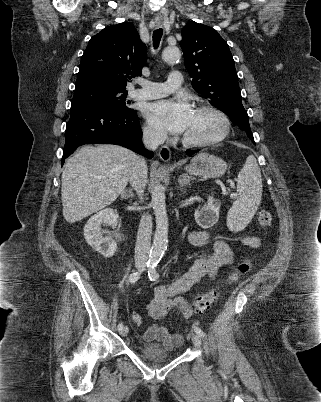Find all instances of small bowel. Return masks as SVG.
<instances>
[{"label":"small bowel","instance_id":"small-bowel-1","mask_svg":"<svg viewBox=\"0 0 321 402\" xmlns=\"http://www.w3.org/2000/svg\"><path fill=\"white\" fill-rule=\"evenodd\" d=\"M189 241L196 246H203L211 241V235L206 231L192 230L188 234ZM242 243L251 248H258L260 240L255 236H244ZM233 262V251L223 238L213 241V250L197 258L191 267L170 284L157 285L153 290V299L148 305L149 316L154 320L163 319L172 310L177 311L182 317L188 318L192 310L188 301L182 297V293L191 289L204 277L214 278L217 271L224 265ZM146 341L161 342L166 348L179 346L183 341L181 333H170L166 327L154 324L145 330Z\"/></svg>","mask_w":321,"mask_h":402}]
</instances>
